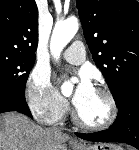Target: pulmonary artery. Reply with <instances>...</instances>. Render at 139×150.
<instances>
[{
	"mask_svg": "<svg viewBox=\"0 0 139 150\" xmlns=\"http://www.w3.org/2000/svg\"><path fill=\"white\" fill-rule=\"evenodd\" d=\"M63 58L71 64H81L85 60V48L83 43L81 41H75L64 51Z\"/></svg>",
	"mask_w": 139,
	"mask_h": 150,
	"instance_id": "pulmonary-artery-1",
	"label": "pulmonary artery"
}]
</instances>
